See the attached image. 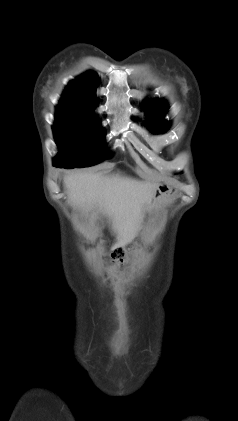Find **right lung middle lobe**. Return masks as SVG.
Wrapping results in <instances>:
<instances>
[{
    "label": "right lung middle lobe",
    "mask_w": 238,
    "mask_h": 421,
    "mask_svg": "<svg viewBox=\"0 0 238 421\" xmlns=\"http://www.w3.org/2000/svg\"><path fill=\"white\" fill-rule=\"evenodd\" d=\"M96 104L61 100L53 126L59 155L54 164L64 168L89 167L101 161L103 130L93 110Z\"/></svg>",
    "instance_id": "right-lung-middle-lobe-1"
}]
</instances>
